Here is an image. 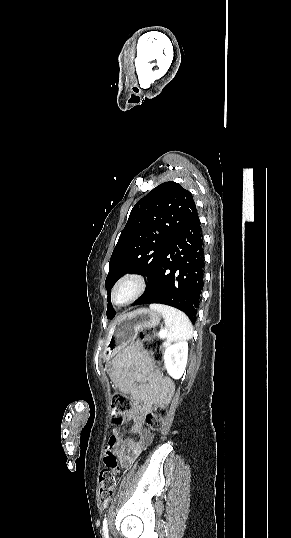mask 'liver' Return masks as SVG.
<instances>
[{"instance_id": "1", "label": "liver", "mask_w": 291, "mask_h": 538, "mask_svg": "<svg viewBox=\"0 0 291 538\" xmlns=\"http://www.w3.org/2000/svg\"><path fill=\"white\" fill-rule=\"evenodd\" d=\"M119 318H121V316H120V317H118V318H117V320H118ZM117 320H116V321H117ZM116 321H115V322H114V323H113V324H112L111 326H113V325H114V324L116 323Z\"/></svg>"}]
</instances>
